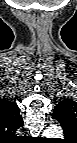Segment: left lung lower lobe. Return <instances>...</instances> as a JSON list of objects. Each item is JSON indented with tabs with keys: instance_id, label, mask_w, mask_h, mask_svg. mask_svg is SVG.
Instances as JSON below:
<instances>
[{
	"instance_id": "1",
	"label": "left lung lower lobe",
	"mask_w": 77,
	"mask_h": 143,
	"mask_svg": "<svg viewBox=\"0 0 77 143\" xmlns=\"http://www.w3.org/2000/svg\"><path fill=\"white\" fill-rule=\"evenodd\" d=\"M52 118L55 119V120H57L59 122V117L53 116Z\"/></svg>"
}]
</instances>
